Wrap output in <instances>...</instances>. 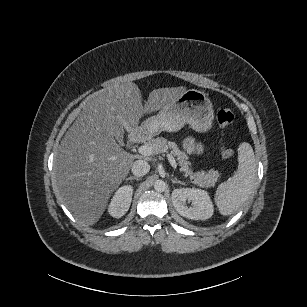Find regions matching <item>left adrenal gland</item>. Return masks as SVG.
<instances>
[{
  "label": "left adrenal gland",
  "mask_w": 307,
  "mask_h": 307,
  "mask_svg": "<svg viewBox=\"0 0 307 307\" xmlns=\"http://www.w3.org/2000/svg\"><path fill=\"white\" fill-rule=\"evenodd\" d=\"M171 180H172L173 183H180V184L186 185L185 182H183V181H181V180H179V179L171 178Z\"/></svg>",
  "instance_id": "left-adrenal-gland-1"
}]
</instances>
